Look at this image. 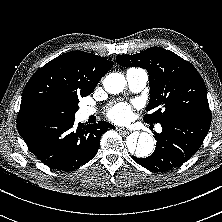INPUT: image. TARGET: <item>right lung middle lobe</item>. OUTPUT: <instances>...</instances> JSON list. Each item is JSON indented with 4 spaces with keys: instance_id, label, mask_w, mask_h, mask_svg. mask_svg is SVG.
<instances>
[{
    "instance_id": "right-lung-middle-lobe-1",
    "label": "right lung middle lobe",
    "mask_w": 222,
    "mask_h": 222,
    "mask_svg": "<svg viewBox=\"0 0 222 222\" xmlns=\"http://www.w3.org/2000/svg\"><path fill=\"white\" fill-rule=\"evenodd\" d=\"M78 102L79 99L73 100L68 105L51 102L46 106L44 110L45 118L57 120L75 119L74 113L79 109Z\"/></svg>"
}]
</instances>
